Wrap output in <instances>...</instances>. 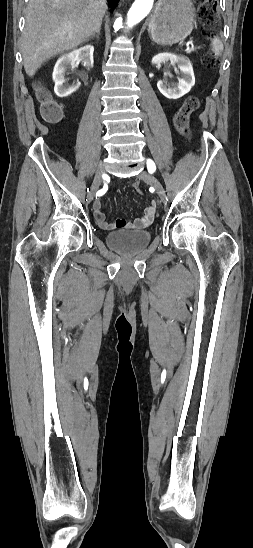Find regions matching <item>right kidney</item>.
<instances>
[{"instance_id": "right-kidney-1", "label": "right kidney", "mask_w": 253, "mask_h": 548, "mask_svg": "<svg viewBox=\"0 0 253 548\" xmlns=\"http://www.w3.org/2000/svg\"><path fill=\"white\" fill-rule=\"evenodd\" d=\"M94 47L85 45L79 49L73 50L68 54L62 55L56 62L53 70V81L55 82L54 92L58 97L64 98L75 92L80 82L69 85L65 79L67 68L76 66L79 62H83L87 67H92Z\"/></svg>"}]
</instances>
